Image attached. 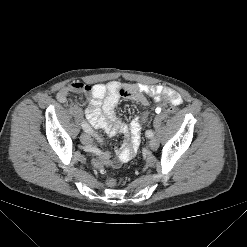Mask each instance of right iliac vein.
<instances>
[{"mask_svg": "<svg viewBox=\"0 0 247 247\" xmlns=\"http://www.w3.org/2000/svg\"><path fill=\"white\" fill-rule=\"evenodd\" d=\"M80 141L84 144V145H88L92 143V139L91 136L87 133L84 132L80 135Z\"/></svg>", "mask_w": 247, "mask_h": 247, "instance_id": "right-iliac-vein-1", "label": "right iliac vein"}]
</instances>
